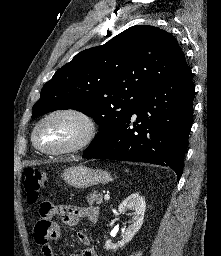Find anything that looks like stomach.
<instances>
[{
  "mask_svg": "<svg viewBox=\"0 0 221 256\" xmlns=\"http://www.w3.org/2000/svg\"><path fill=\"white\" fill-rule=\"evenodd\" d=\"M64 181L75 188L84 189L100 183H108L112 180L107 171L91 169L83 165L70 167L63 171Z\"/></svg>",
  "mask_w": 221,
  "mask_h": 256,
  "instance_id": "0dacf381",
  "label": "stomach"
}]
</instances>
